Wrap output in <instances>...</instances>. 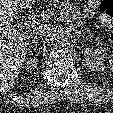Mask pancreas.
Returning <instances> with one entry per match:
<instances>
[{"label":"pancreas","instance_id":"cf45deb5","mask_svg":"<svg viewBox=\"0 0 113 113\" xmlns=\"http://www.w3.org/2000/svg\"><path fill=\"white\" fill-rule=\"evenodd\" d=\"M58 7H64L72 15V19L76 22L77 25L83 26L82 15L78 8L71 4L69 1L63 0H52L51 3L47 4L45 8L51 11Z\"/></svg>","mask_w":113,"mask_h":113}]
</instances>
